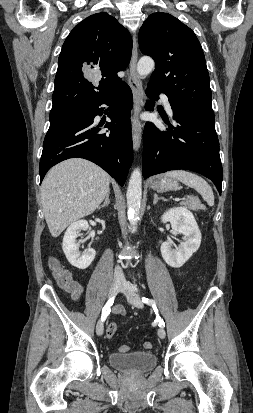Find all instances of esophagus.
Returning a JSON list of instances; mask_svg holds the SVG:
<instances>
[{
	"mask_svg": "<svg viewBox=\"0 0 253 413\" xmlns=\"http://www.w3.org/2000/svg\"><path fill=\"white\" fill-rule=\"evenodd\" d=\"M138 60V45L136 36H133V48L132 56L130 61V72L129 79L130 85L134 98V108H133V123H132V140L133 148L135 151H138L141 145L142 139V124L138 120V115L142 110L143 106V96H142V83L141 79L137 74L136 65Z\"/></svg>",
	"mask_w": 253,
	"mask_h": 413,
	"instance_id": "esophagus-1",
	"label": "esophagus"
}]
</instances>
